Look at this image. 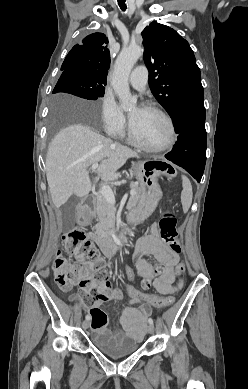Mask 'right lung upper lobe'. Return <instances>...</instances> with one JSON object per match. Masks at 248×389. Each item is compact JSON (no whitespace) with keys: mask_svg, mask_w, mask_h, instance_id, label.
<instances>
[{"mask_svg":"<svg viewBox=\"0 0 248 389\" xmlns=\"http://www.w3.org/2000/svg\"><path fill=\"white\" fill-rule=\"evenodd\" d=\"M108 38L103 33L88 35L76 44L66 56L61 70L86 71L96 78L106 79L110 66Z\"/></svg>","mask_w":248,"mask_h":389,"instance_id":"cb5924a9","label":"right lung upper lobe"}]
</instances>
